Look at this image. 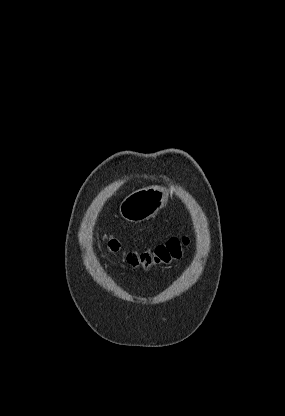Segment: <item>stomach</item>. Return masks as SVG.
Wrapping results in <instances>:
<instances>
[{
	"instance_id": "0dacf381",
	"label": "stomach",
	"mask_w": 285,
	"mask_h": 416,
	"mask_svg": "<svg viewBox=\"0 0 285 416\" xmlns=\"http://www.w3.org/2000/svg\"><path fill=\"white\" fill-rule=\"evenodd\" d=\"M167 190L161 186L142 188L129 194L119 206L120 216L127 222H142L156 216L165 206Z\"/></svg>"
}]
</instances>
